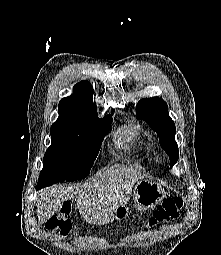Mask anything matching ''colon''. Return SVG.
Listing matches in <instances>:
<instances>
[{"label": "colon", "instance_id": "colon-1", "mask_svg": "<svg viewBox=\"0 0 221 255\" xmlns=\"http://www.w3.org/2000/svg\"><path fill=\"white\" fill-rule=\"evenodd\" d=\"M183 207V200L179 197L166 199L154 211L149 220L150 226L154 227L162 222H169L179 217ZM70 205L63 204L58 214L51 216L46 223L48 231H59L61 235H66L72 227L70 220Z\"/></svg>", "mask_w": 221, "mask_h": 255}]
</instances>
